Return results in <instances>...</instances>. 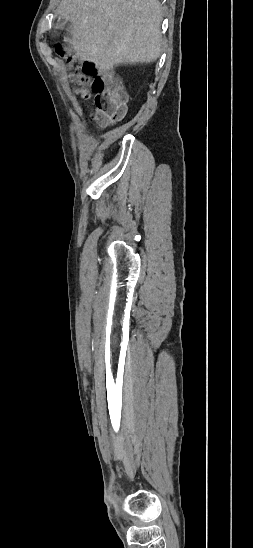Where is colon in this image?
Here are the masks:
<instances>
[{"label": "colon", "mask_w": 253, "mask_h": 548, "mask_svg": "<svg viewBox=\"0 0 253 548\" xmlns=\"http://www.w3.org/2000/svg\"><path fill=\"white\" fill-rule=\"evenodd\" d=\"M58 52L63 55L62 50ZM68 63L74 68L73 90L83 98L94 93L93 118L99 125H108L124 116L127 95L120 79L108 72L100 73L89 61L69 58Z\"/></svg>", "instance_id": "colon-1"}]
</instances>
